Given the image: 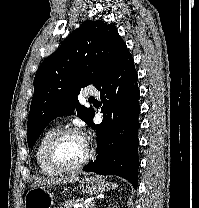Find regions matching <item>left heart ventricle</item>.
Listing matches in <instances>:
<instances>
[{
	"instance_id": "b2bd125f",
	"label": "left heart ventricle",
	"mask_w": 199,
	"mask_h": 208,
	"mask_svg": "<svg viewBox=\"0 0 199 208\" xmlns=\"http://www.w3.org/2000/svg\"><path fill=\"white\" fill-rule=\"evenodd\" d=\"M87 146L82 136L70 134L65 136L57 145L56 159L65 166H72L84 159Z\"/></svg>"
}]
</instances>
